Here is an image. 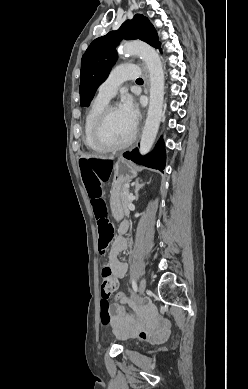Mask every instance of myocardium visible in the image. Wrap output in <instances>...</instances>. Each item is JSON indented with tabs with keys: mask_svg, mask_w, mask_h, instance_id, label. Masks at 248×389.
Returning <instances> with one entry per match:
<instances>
[{
	"mask_svg": "<svg viewBox=\"0 0 248 389\" xmlns=\"http://www.w3.org/2000/svg\"><path fill=\"white\" fill-rule=\"evenodd\" d=\"M115 108H118L116 103H108L104 109L101 111L93 131V137L95 142L104 150V151H118L128 147L133 143L137 136V129L134 127L131 135L121 143H112L107 140L105 137V129L108 122L109 115L111 111Z\"/></svg>",
	"mask_w": 248,
	"mask_h": 389,
	"instance_id": "1",
	"label": "myocardium"
}]
</instances>
